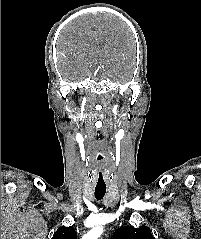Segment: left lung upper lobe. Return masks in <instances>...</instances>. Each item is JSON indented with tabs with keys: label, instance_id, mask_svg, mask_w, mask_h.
Returning a JSON list of instances; mask_svg holds the SVG:
<instances>
[{
	"label": "left lung upper lobe",
	"instance_id": "obj_1",
	"mask_svg": "<svg viewBox=\"0 0 201 239\" xmlns=\"http://www.w3.org/2000/svg\"><path fill=\"white\" fill-rule=\"evenodd\" d=\"M112 239H154V237L146 226L139 228L128 226L117 229L112 235Z\"/></svg>",
	"mask_w": 201,
	"mask_h": 239
}]
</instances>
